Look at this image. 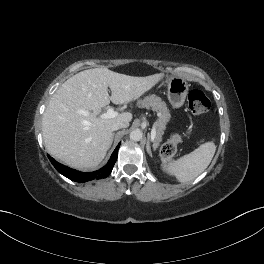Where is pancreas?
<instances>
[{"instance_id":"1","label":"pancreas","mask_w":264,"mask_h":264,"mask_svg":"<svg viewBox=\"0 0 264 264\" xmlns=\"http://www.w3.org/2000/svg\"><path fill=\"white\" fill-rule=\"evenodd\" d=\"M137 105L142 108L151 109L156 111L159 115L158 120L155 122L156 137L153 141V146L156 149L162 141V135L166 129V124L170 120V112L166 103L156 95H149L143 99L138 100Z\"/></svg>"}]
</instances>
